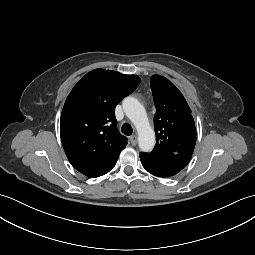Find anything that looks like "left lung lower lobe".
<instances>
[{"mask_svg":"<svg viewBox=\"0 0 255 255\" xmlns=\"http://www.w3.org/2000/svg\"><path fill=\"white\" fill-rule=\"evenodd\" d=\"M143 167L150 174L158 177H171L180 172L190 161L191 156H176L171 159L158 160L140 153Z\"/></svg>","mask_w":255,"mask_h":255,"instance_id":"1","label":"left lung lower lobe"}]
</instances>
